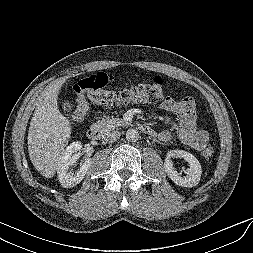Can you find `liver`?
Returning a JSON list of instances; mask_svg holds the SVG:
<instances>
[{"label": "liver", "instance_id": "6515ba94", "mask_svg": "<svg viewBox=\"0 0 253 253\" xmlns=\"http://www.w3.org/2000/svg\"><path fill=\"white\" fill-rule=\"evenodd\" d=\"M65 79L51 84L37 103L28 131V152L34 167L46 178L55 175L58 162L71 137L72 127L57 105Z\"/></svg>", "mask_w": 253, "mask_h": 253}]
</instances>
